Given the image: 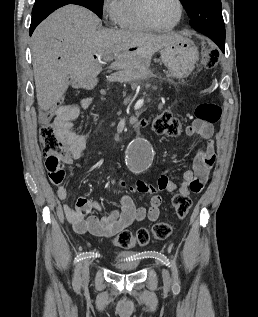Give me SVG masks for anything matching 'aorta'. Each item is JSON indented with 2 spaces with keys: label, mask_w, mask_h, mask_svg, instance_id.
<instances>
[{
  "label": "aorta",
  "mask_w": 258,
  "mask_h": 317,
  "mask_svg": "<svg viewBox=\"0 0 258 317\" xmlns=\"http://www.w3.org/2000/svg\"><path fill=\"white\" fill-rule=\"evenodd\" d=\"M152 160V149L147 140L140 138L130 144L126 162L133 172L140 173L145 171L150 167Z\"/></svg>",
  "instance_id": "aorta-1"
}]
</instances>
